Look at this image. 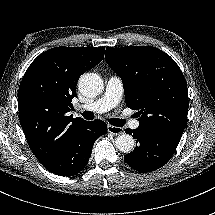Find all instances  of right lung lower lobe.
I'll list each match as a JSON object with an SVG mask.
<instances>
[{"label":"right lung lower lobe","instance_id":"1","mask_svg":"<svg viewBox=\"0 0 215 215\" xmlns=\"http://www.w3.org/2000/svg\"><path fill=\"white\" fill-rule=\"evenodd\" d=\"M106 132L107 125L102 120L76 125L56 156L44 167L57 175H76L87 165L95 140Z\"/></svg>","mask_w":215,"mask_h":215}]
</instances>
